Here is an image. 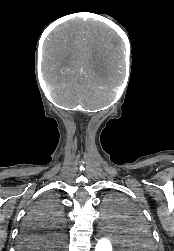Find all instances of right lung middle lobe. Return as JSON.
I'll return each mask as SVG.
<instances>
[{
    "mask_svg": "<svg viewBox=\"0 0 174 251\" xmlns=\"http://www.w3.org/2000/svg\"><path fill=\"white\" fill-rule=\"evenodd\" d=\"M25 223L45 227L47 236L55 246H61V229L64 225V214L59 203L50 197L37 201L30 209Z\"/></svg>",
    "mask_w": 174,
    "mask_h": 251,
    "instance_id": "1",
    "label": "right lung middle lobe"
}]
</instances>
